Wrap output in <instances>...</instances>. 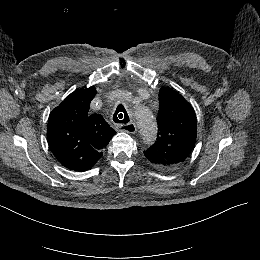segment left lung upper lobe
I'll use <instances>...</instances> for the list:
<instances>
[{
  "label": "left lung upper lobe",
  "mask_w": 260,
  "mask_h": 260,
  "mask_svg": "<svg viewBox=\"0 0 260 260\" xmlns=\"http://www.w3.org/2000/svg\"><path fill=\"white\" fill-rule=\"evenodd\" d=\"M157 141L146 151L150 164L174 169L185 162L196 142V116L192 106L176 91L163 87L159 92Z\"/></svg>",
  "instance_id": "1"
}]
</instances>
